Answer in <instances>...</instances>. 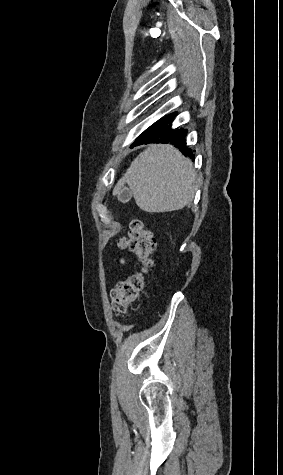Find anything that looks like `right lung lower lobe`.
I'll list each match as a JSON object with an SVG mask.
<instances>
[{
	"label": "right lung lower lobe",
	"instance_id": "obj_1",
	"mask_svg": "<svg viewBox=\"0 0 283 475\" xmlns=\"http://www.w3.org/2000/svg\"><path fill=\"white\" fill-rule=\"evenodd\" d=\"M176 115L177 112L171 113L151 125L136 139L131 147L144 143H170L179 148L185 156H189L194 160V154L185 142L187 130L172 128V121Z\"/></svg>",
	"mask_w": 283,
	"mask_h": 475
}]
</instances>
